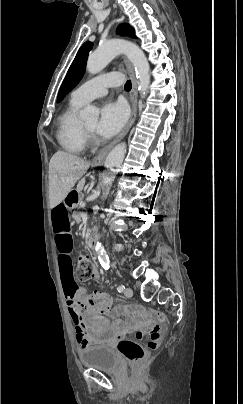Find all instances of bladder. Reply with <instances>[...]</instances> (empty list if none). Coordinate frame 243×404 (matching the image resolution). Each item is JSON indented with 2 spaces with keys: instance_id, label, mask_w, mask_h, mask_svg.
<instances>
[{
  "instance_id": "31cf9c89",
  "label": "bladder",
  "mask_w": 243,
  "mask_h": 404,
  "mask_svg": "<svg viewBox=\"0 0 243 404\" xmlns=\"http://www.w3.org/2000/svg\"><path fill=\"white\" fill-rule=\"evenodd\" d=\"M79 360L83 367L107 373H116L120 370L117 354L109 347L102 345H88L80 347Z\"/></svg>"
}]
</instances>
